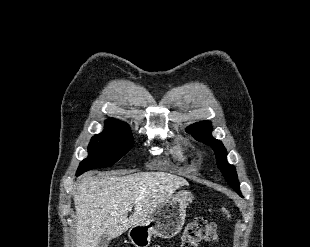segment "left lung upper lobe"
I'll return each instance as SVG.
<instances>
[{
  "mask_svg": "<svg viewBox=\"0 0 310 247\" xmlns=\"http://www.w3.org/2000/svg\"><path fill=\"white\" fill-rule=\"evenodd\" d=\"M186 131L191 133L196 140L212 147L216 155L217 166L223 173V176L234 190L240 189L235 167L227 162L225 147L221 141L211 136V123L209 121L198 122L189 126Z\"/></svg>",
  "mask_w": 310,
  "mask_h": 247,
  "instance_id": "obj_1",
  "label": "left lung upper lobe"
}]
</instances>
